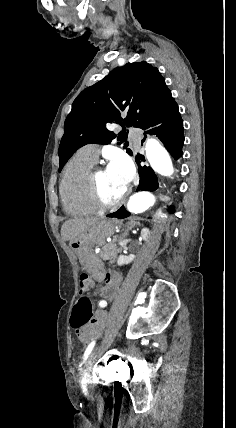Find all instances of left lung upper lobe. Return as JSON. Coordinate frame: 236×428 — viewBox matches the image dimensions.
Instances as JSON below:
<instances>
[{
  "instance_id": "obj_1",
  "label": "left lung upper lobe",
  "mask_w": 236,
  "mask_h": 428,
  "mask_svg": "<svg viewBox=\"0 0 236 428\" xmlns=\"http://www.w3.org/2000/svg\"><path fill=\"white\" fill-rule=\"evenodd\" d=\"M173 100L158 69L147 62L127 63L115 68L74 100L59 146V172L80 147L90 143H111L117 136L107 129L109 124L118 123L124 128L117 140L125 142V127L142 128ZM122 114L126 115L125 119ZM126 151L133 155L130 149Z\"/></svg>"
}]
</instances>
